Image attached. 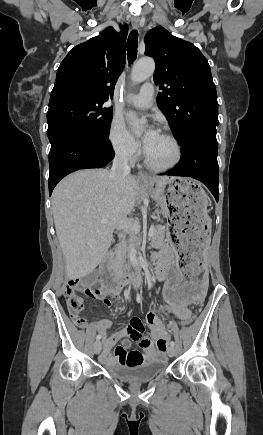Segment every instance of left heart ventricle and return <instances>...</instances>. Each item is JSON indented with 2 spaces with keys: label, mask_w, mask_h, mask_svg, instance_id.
<instances>
[{
  "label": "left heart ventricle",
  "mask_w": 263,
  "mask_h": 435,
  "mask_svg": "<svg viewBox=\"0 0 263 435\" xmlns=\"http://www.w3.org/2000/svg\"><path fill=\"white\" fill-rule=\"evenodd\" d=\"M147 154L154 164L166 165L174 160L176 151L172 142L159 134L147 150Z\"/></svg>",
  "instance_id": "left-heart-ventricle-1"
}]
</instances>
